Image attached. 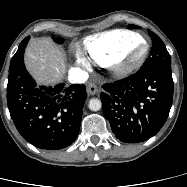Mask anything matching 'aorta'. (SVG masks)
<instances>
[{
    "label": "aorta",
    "instance_id": "1",
    "mask_svg": "<svg viewBox=\"0 0 187 187\" xmlns=\"http://www.w3.org/2000/svg\"><path fill=\"white\" fill-rule=\"evenodd\" d=\"M88 107L92 111H98L102 107V103L99 99L97 98H92L89 100Z\"/></svg>",
    "mask_w": 187,
    "mask_h": 187
}]
</instances>
